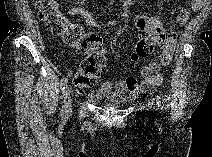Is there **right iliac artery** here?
I'll return each mask as SVG.
<instances>
[{
  "instance_id": "1",
  "label": "right iliac artery",
  "mask_w": 212,
  "mask_h": 157,
  "mask_svg": "<svg viewBox=\"0 0 212 157\" xmlns=\"http://www.w3.org/2000/svg\"><path fill=\"white\" fill-rule=\"evenodd\" d=\"M67 82H68L67 78H62L61 83H60V87L62 90H65V88L67 86ZM62 111H63V109H62Z\"/></svg>"
}]
</instances>
